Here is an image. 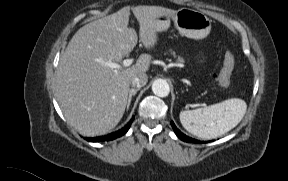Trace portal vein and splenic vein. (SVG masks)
Here are the masks:
<instances>
[{
	"label": "portal vein and splenic vein",
	"mask_w": 288,
	"mask_h": 181,
	"mask_svg": "<svg viewBox=\"0 0 288 181\" xmlns=\"http://www.w3.org/2000/svg\"><path fill=\"white\" fill-rule=\"evenodd\" d=\"M132 62H133V59H125V60H123V66L128 67L132 64ZM106 65L110 68H113V69L120 68V65L118 63H114V62H107Z\"/></svg>",
	"instance_id": "18ae733b"
}]
</instances>
